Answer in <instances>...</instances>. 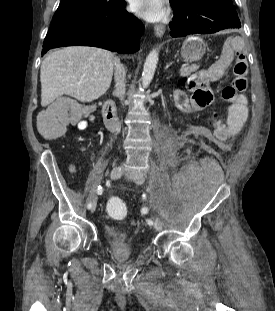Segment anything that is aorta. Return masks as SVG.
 <instances>
[{"label":"aorta","instance_id":"aorta-1","mask_svg":"<svg viewBox=\"0 0 275 311\" xmlns=\"http://www.w3.org/2000/svg\"><path fill=\"white\" fill-rule=\"evenodd\" d=\"M157 62H158V51L153 50L147 56L143 67L142 85L144 88H147L151 83L157 67Z\"/></svg>","mask_w":275,"mask_h":311}]
</instances>
